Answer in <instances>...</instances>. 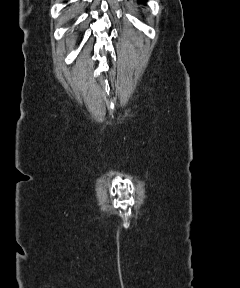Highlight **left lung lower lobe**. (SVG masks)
Masks as SVG:
<instances>
[{
  "instance_id": "obj_1",
  "label": "left lung lower lobe",
  "mask_w": 240,
  "mask_h": 288,
  "mask_svg": "<svg viewBox=\"0 0 240 288\" xmlns=\"http://www.w3.org/2000/svg\"><path fill=\"white\" fill-rule=\"evenodd\" d=\"M141 1L145 2L146 0H139V3H140Z\"/></svg>"
}]
</instances>
